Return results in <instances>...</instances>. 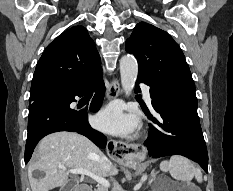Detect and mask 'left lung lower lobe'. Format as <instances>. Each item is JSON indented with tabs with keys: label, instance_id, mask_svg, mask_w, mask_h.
<instances>
[{
	"label": "left lung lower lobe",
	"instance_id": "0a47b994",
	"mask_svg": "<svg viewBox=\"0 0 233 191\" xmlns=\"http://www.w3.org/2000/svg\"><path fill=\"white\" fill-rule=\"evenodd\" d=\"M150 86L152 106L158 117L142 108L153 121L150 133L144 145L151 158L169 155H182L197 162L208 173L207 147L197 114V98L183 92L155 88L146 78L138 77L136 92H140L138 83Z\"/></svg>",
	"mask_w": 233,
	"mask_h": 191
}]
</instances>
